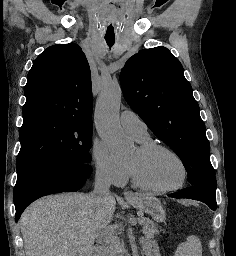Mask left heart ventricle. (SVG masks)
Masks as SVG:
<instances>
[{"instance_id": "1", "label": "left heart ventricle", "mask_w": 236, "mask_h": 256, "mask_svg": "<svg viewBox=\"0 0 236 256\" xmlns=\"http://www.w3.org/2000/svg\"><path fill=\"white\" fill-rule=\"evenodd\" d=\"M127 163L137 166L144 180L155 187L176 185L183 174L179 161L164 151L141 157L135 149Z\"/></svg>"}]
</instances>
